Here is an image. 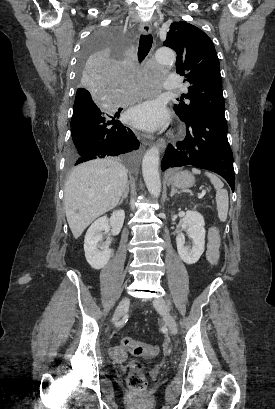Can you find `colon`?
<instances>
[{
  "label": "colon",
  "mask_w": 275,
  "mask_h": 409,
  "mask_svg": "<svg viewBox=\"0 0 275 409\" xmlns=\"http://www.w3.org/2000/svg\"><path fill=\"white\" fill-rule=\"evenodd\" d=\"M121 346L127 349L129 353H134L136 358H155L157 356L158 344L156 342L123 338ZM127 381L132 388L142 389L146 385V378L140 373L137 366L131 367Z\"/></svg>",
  "instance_id": "5ec220e1"
}]
</instances>
